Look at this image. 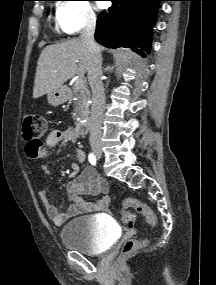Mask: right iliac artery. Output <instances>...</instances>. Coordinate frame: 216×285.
Here are the masks:
<instances>
[{"label": "right iliac artery", "mask_w": 216, "mask_h": 285, "mask_svg": "<svg viewBox=\"0 0 216 285\" xmlns=\"http://www.w3.org/2000/svg\"><path fill=\"white\" fill-rule=\"evenodd\" d=\"M88 160L89 162L92 164V165H96V157L93 153H90L89 156H88Z\"/></svg>", "instance_id": "right-iliac-artery-1"}]
</instances>
